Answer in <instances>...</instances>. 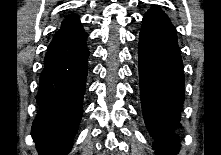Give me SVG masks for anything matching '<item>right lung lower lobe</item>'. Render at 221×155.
Segmentation results:
<instances>
[{
    "label": "right lung lower lobe",
    "mask_w": 221,
    "mask_h": 155,
    "mask_svg": "<svg viewBox=\"0 0 221 155\" xmlns=\"http://www.w3.org/2000/svg\"><path fill=\"white\" fill-rule=\"evenodd\" d=\"M87 33L79 23L61 27L44 59L32 137L40 155H67L83 113Z\"/></svg>",
    "instance_id": "98d812e1"
}]
</instances>
